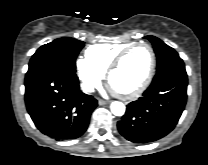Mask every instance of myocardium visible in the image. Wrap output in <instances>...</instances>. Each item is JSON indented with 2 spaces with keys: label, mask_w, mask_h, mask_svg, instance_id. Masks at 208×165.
Returning <instances> with one entry per match:
<instances>
[{
  "label": "myocardium",
  "mask_w": 208,
  "mask_h": 165,
  "mask_svg": "<svg viewBox=\"0 0 208 165\" xmlns=\"http://www.w3.org/2000/svg\"><path fill=\"white\" fill-rule=\"evenodd\" d=\"M138 46H144L146 47L151 55V61H150V67L149 70L147 72V75L145 76L143 82L136 87L135 89L128 91V92H120L117 90H114L111 87L110 84V79L112 74L120 67V65L122 64V62L124 61V59L127 57V55L136 47ZM155 68H156V54L154 51V48L146 43V42H135L130 44L129 46H127L126 48H124L123 50H121L117 56L113 59V61L111 62V64L109 65L107 71H106V81L107 84L112 88L113 92L120 98L123 99H132L135 98L137 96H139L140 94H142L150 85L154 73H155Z\"/></svg>",
  "instance_id": "obj_1"
}]
</instances>
